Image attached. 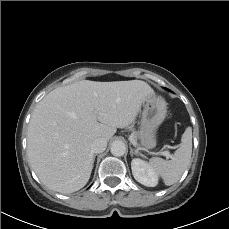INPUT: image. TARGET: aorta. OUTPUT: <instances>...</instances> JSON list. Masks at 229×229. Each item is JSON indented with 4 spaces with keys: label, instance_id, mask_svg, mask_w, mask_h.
<instances>
[{
    "label": "aorta",
    "instance_id": "1",
    "mask_svg": "<svg viewBox=\"0 0 229 229\" xmlns=\"http://www.w3.org/2000/svg\"><path fill=\"white\" fill-rule=\"evenodd\" d=\"M111 153L114 156L120 157L123 156L126 152V145L122 141H114L111 144Z\"/></svg>",
    "mask_w": 229,
    "mask_h": 229
}]
</instances>
